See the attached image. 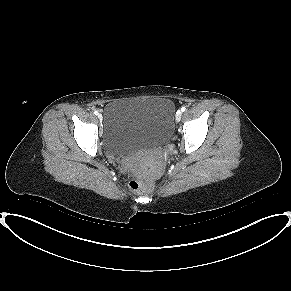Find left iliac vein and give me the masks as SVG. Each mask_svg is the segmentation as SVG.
I'll return each instance as SVG.
<instances>
[{
    "mask_svg": "<svg viewBox=\"0 0 291 291\" xmlns=\"http://www.w3.org/2000/svg\"><path fill=\"white\" fill-rule=\"evenodd\" d=\"M181 117H182V111H177V113H176V120L177 121H180L181 120Z\"/></svg>",
    "mask_w": 291,
    "mask_h": 291,
    "instance_id": "obj_1",
    "label": "left iliac vein"
}]
</instances>
